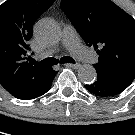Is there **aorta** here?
<instances>
[{"label": "aorta", "instance_id": "1", "mask_svg": "<svg viewBox=\"0 0 135 135\" xmlns=\"http://www.w3.org/2000/svg\"><path fill=\"white\" fill-rule=\"evenodd\" d=\"M36 36L47 44H56L61 39L60 27L51 20H42L36 25ZM97 76L96 70L92 65H82L78 70V78L84 83H92Z\"/></svg>", "mask_w": 135, "mask_h": 135}]
</instances>
